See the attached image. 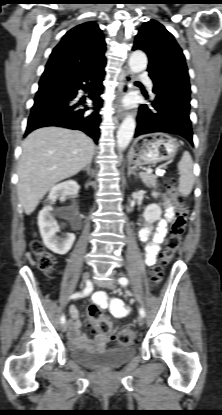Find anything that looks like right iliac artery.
Returning <instances> with one entry per match:
<instances>
[{
  "label": "right iliac artery",
  "instance_id": "1",
  "mask_svg": "<svg viewBox=\"0 0 222 415\" xmlns=\"http://www.w3.org/2000/svg\"><path fill=\"white\" fill-rule=\"evenodd\" d=\"M93 290V285L90 281L86 282V287L82 292H77L74 293L70 296V299H77L80 297H84V296H88ZM60 321L62 324H64L66 322V318L64 315L61 316Z\"/></svg>",
  "mask_w": 222,
  "mask_h": 415
}]
</instances>
